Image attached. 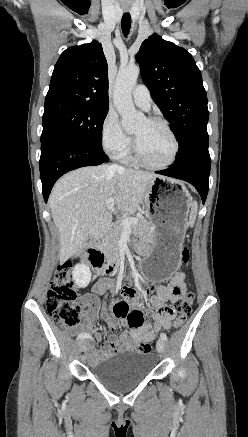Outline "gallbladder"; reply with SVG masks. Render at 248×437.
Segmentation results:
<instances>
[{"mask_svg":"<svg viewBox=\"0 0 248 437\" xmlns=\"http://www.w3.org/2000/svg\"><path fill=\"white\" fill-rule=\"evenodd\" d=\"M92 243V239H89L88 241H87V243H86V245L82 248V250L88 245V244H91Z\"/></svg>","mask_w":248,"mask_h":437,"instance_id":"gallbladder-1","label":"gallbladder"}]
</instances>
